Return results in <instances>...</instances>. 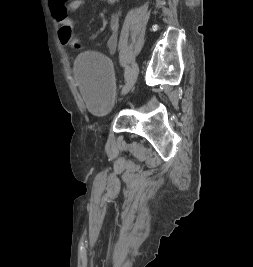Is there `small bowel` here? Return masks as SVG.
<instances>
[{
    "label": "small bowel",
    "mask_w": 253,
    "mask_h": 267,
    "mask_svg": "<svg viewBox=\"0 0 253 267\" xmlns=\"http://www.w3.org/2000/svg\"><path fill=\"white\" fill-rule=\"evenodd\" d=\"M109 3H116L118 0H105ZM86 3V0H48L50 11L60 26L67 25L72 28V20L70 14ZM120 25V17L118 13L110 16L108 26L110 35L107 39V49L110 53H114L118 45V29Z\"/></svg>",
    "instance_id": "1"
}]
</instances>
